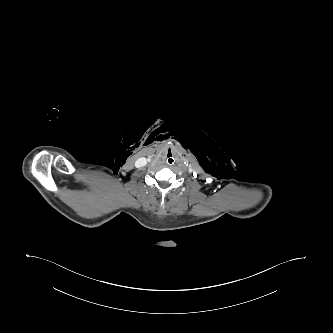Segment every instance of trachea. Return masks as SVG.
<instances>
[{"label": "trachea", "mask_w": 333, "mask_h": 333, "mask_svg": "<svg viewBox=\"0 0 333 333\" xmlns=\"http://www.w3.org/2000/svg\"><path fill=\"white\" fill-rule=\"evenodd\" d=\"M176 155L173 154L172 152H167L164 156H163V161L167 164V165H172L173 163L176 162Z\"/></svg>", "instance_id": "trachea-1"}]
</instances>
